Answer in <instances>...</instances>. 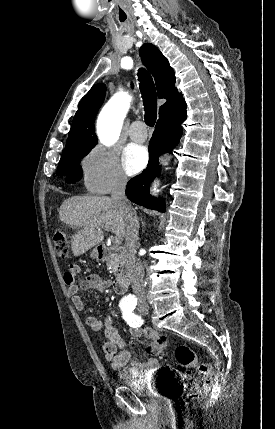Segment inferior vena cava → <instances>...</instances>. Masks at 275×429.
I'll return each mask as SVG.
<instances>
[{
    "label": "inferior vena cava",
    "instance_id": "obj_1",
    "mask_svg": "<svg viewBox=\"0 0 275 429\" xmlns=\"http://www.w3.org/2000/svg\"><path fill=\"white\" fill-rule=\"evenodd\" d=\"M127 179L121 177L112 190V200L118 205L125 219V251L128 259V268L132 276L134 292L138 302L145 304L144 268L139 259L135 257L139 234V220L135 209L131 206L125 195Z\"/></svg>",
    "mask_w": 275,
    "mask_h": 429
}]
</instances>
